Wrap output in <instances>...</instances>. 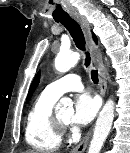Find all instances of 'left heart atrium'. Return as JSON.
I'll return each mask as SVG.
<instances>
[{
    "label": "left heart atrium",
    "instance_id": "left-heart-atrium-1",
    "mask_svg": "<svg viewBox=\"0 0 130 153\" xmlns=\"http://www.w3.org/2000/svg\"><path fill=\"white\" fill-rule=\"evenodd\" d=\"M99 108L100 101L96 95L89 92L79 94L75 100L71 122L83 125L88 124L94 119Z\"/></svg>",
    "mask_w": 130,
    "mask_h": 153
}]
</instances>
